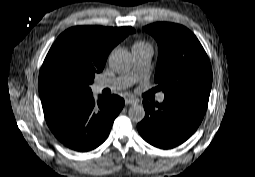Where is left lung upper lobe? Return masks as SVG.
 <instances>
[{
	"label": "left lung upper lobe",
	"instance_id": "left-lung-upper-lobe-1",
	"mask_svg": "<svg viewBox=\"0 0 255 177\" xmlns=\"http://www.w3.org/2000/svg\"><path fill=\"white\" fill-rule=\"evenodd\" d=\"M159 46L155 82L165 98L209 99L212 70L196 36L184 26L154 23L143 28Z\"/></svg>",
	"mask_w": 255,
	"mask_h": 177
}]
</instances>
